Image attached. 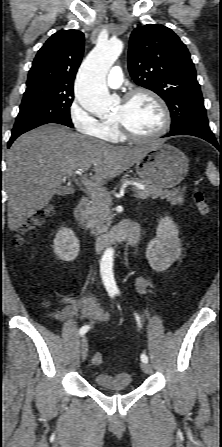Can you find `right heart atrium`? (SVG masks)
<instances>
[{"label":"right heart atrium","instance_id":"right-heart-atrium-1","mask_svg":"<svg viewBox=\"0 0 222 447\" xmlns=\"http://www.w3.org/2000/svg\"><path fill=\"white\" fill-rule=\"evenodd\" d=\"M69 117L73 127L81 134L97 135L100 122L83 109L79 100L75 101L69 109Z\"/></svg>","mask_w":222,"mask_h":447}]
</instances>
